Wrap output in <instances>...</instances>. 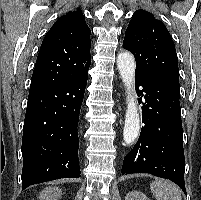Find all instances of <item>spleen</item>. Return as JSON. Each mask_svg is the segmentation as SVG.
<instances>
[{"mask_svg":"<svg viewBox=\"0 0 201 200\" xmlns=\"http://www.w3.org/2000/svg\"><path fill=\"white\" fill-rule=\"evenodd\" d=\"M150 188L156 200H182L179 188L169 181L156 179Z\"/></svg>","mask_w":201,"mask_h":200,"instance_id":"obj_1","label":"spleen"}]
</instances>
